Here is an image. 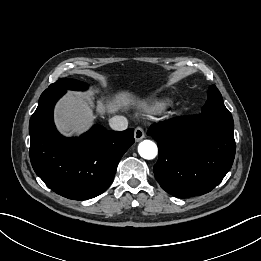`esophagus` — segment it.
<instances>
[{"mask_svg":"<svg viewBox=\"0 0 261 261\" xmlns=\"http://www.w3.org/2000/svg\"><path fill=\"white\" fill-rule=\"evenodd\" d=\"M145 137V132L141 127H137L134 131V138L138 142Z\"/></svg>","mask_w":261,"mask_h":261,"instance_id":"34e87169","label":"esophagus"}]
</instances>
